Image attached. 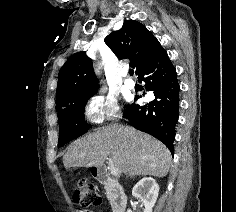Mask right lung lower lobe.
Masks as SVG:
<instances>
[{"label": "right lung lower lobe", "mask_w": 236, "mask_h": 212, "mask_svg": "<svg viewBox=\"0 0 236 212\" xmlns=\"http://www.w3.org/2000/svg\"><path fill=\"white\" fill-rule=\"evenodd\" d=\"M138 76L140 82H145L146 90L154 93L155 99L143 106H125L123 117L136 129L159 139L173 154L180 87L176 69L162 46L156 50Z\"/></svg>", "instance_id": "right-lung-lower-lobe-1"}]
</instances>
